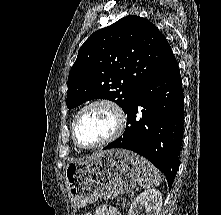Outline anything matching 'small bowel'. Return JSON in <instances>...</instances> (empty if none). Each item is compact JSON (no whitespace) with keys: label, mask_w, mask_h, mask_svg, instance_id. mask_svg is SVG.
Returning <instances> with one entry per match:
<instances>
[{"label":"small bowel","mask_w":221,"mask_h":215,"mask_svg":"<svg viewBox=\"0 0 221 215\" xmlns=\"http://www.w3.org/2000/svg\"><path fill=\"white\" fill-rule=\"evenodd\" d=\"M85 215H121V213L112 206H101L94 212H90Z\"/></svg>","instance_id":"obj_1"}]
</instances>
